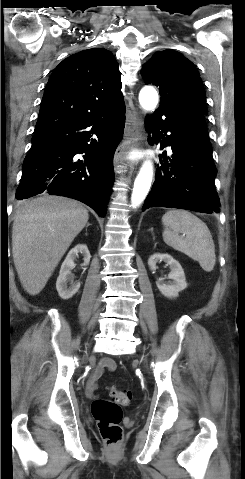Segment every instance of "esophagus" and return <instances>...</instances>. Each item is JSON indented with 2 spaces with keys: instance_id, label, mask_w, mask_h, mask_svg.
Returning <instances> with one entry per match:
<instances>
[{
  "instance_id": "1",
  "label": "esophagus",
  "mask_w": 245,
  "mask_h": 479,
  "mask_svg": "<svg viewBox=\"0 0 245 479\" xmlns=\"http://www.w3.org/2000/svg\"><path fill=\"white\" fill-rule=\"evenodd\" d=\"M142 140V119L137 111H133L127 116L126 139L115 153L114 164L125 162L127 153L140 147Z\"/></svg>"
}]
</instances>
